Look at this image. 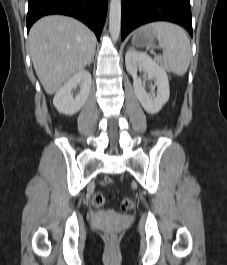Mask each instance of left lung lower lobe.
<instances>
[{"label": "left lung lower lobe", "instance_id": "0a47b994", "mask_svg": "<svg viewBox=\"0 0 227 265\" xmlns=\"http://www.w3.org/2000/svg\"><path fill=\"white\" fill-rule=\"evenodd\" d=\"M159 20L177 23L192 36L190 0H122V40L136 27Z\"/></svg>", "mask_w": 227, "mask_h": 265}]
</instances>
